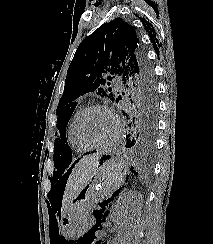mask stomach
I'll return each instance as SVG.
<instances>
[{
	"label": "stomach",
	"instance_id": "1",
	"mask_svg": "<svg viewBox=\"0 0 213 244\" xmlns=\"http://www.w3.org/2000/svg\"><path fill=\"white\" fill-rule=\"evenodd\" d=\"M122 149H104L99 166L89 183L70 203L60 222L64 235L72 236L87 228L89 207L94 200L109 198L121 188L127 175V166L119 156Z\"/></svg>",
	"mask_w": 213,
	"mask_h": 244
}]
</instances>
